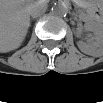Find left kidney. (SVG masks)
I'll return each instance as SVG.
<instances>
[{"label": "left kidney", "instance_id": "obj_1", "mask_svg": "<svg viewBox=\"0 0 103 103\" xmlns=\"http://www.w3.org/2000/svg\"><path fill=\"white\" fill-rule=\"evenodd\" d=\"M86 30H91L93 32V36L90 38L88 43L83 41H78V48L85 54L98 56L102 53L103 46V31L102 28H98L94 25L85 24Z\"/></svg>", "mask_w": 103, "mask_h": 103}]
</instances>
